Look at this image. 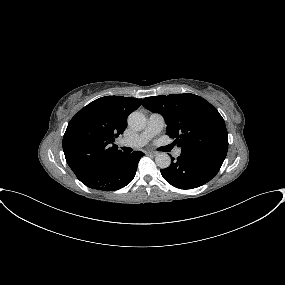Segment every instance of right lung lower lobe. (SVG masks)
I'll list each match as a JSON object with an SVG mask.
<instances>
[{"instance_id":"98d812e1","label":"right lung lower lobe","mask_w":285,"mask_h":285,"mask_svg":"<svg viewBox=\"0 0 285 285\" xmlns=\"http://www.w3.org/2000/svg\"><path fill=\"white\" fill-rule=\"evenodd\" d=\"M140 151L122 153L118 157L95 168L78 179L87 187L102 191H114L125 187L135 177L140 158Z\"/></svg>"}]
</instances>
